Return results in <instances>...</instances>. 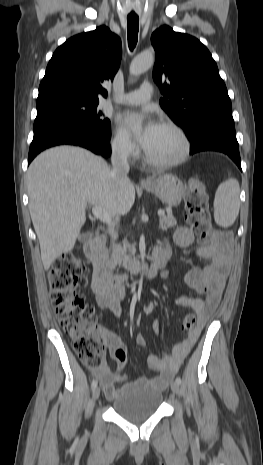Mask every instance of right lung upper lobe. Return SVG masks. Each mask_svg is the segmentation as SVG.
Listing matches in <instances>:
<instances>
[{
    "mask_svg": "<svg viewBox=\"0 0 263 465\" xmlns=\"http://www.w3.org/2000/svg\"><path fill=\"white\" fill-rule=\"evenodd\" d=\"M121 56V40L106 26L71 37L49 61L37 101L58 96L106 97L102 84L113 80Z\"/></svg>",
    "mask_w": 263,
    "mask_h": 465,
    "instance_id": "cb5924a9",
    "label": "right lung upper lobe"
}]
</instances>
